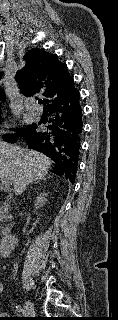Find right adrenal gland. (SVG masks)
<instances>
[{
	"mask_svg": "<svg viewBox=\"0 0 118 320\" xmlns=\"http://www.w3.org/2000/svg\"><path fill=\"white\" fill-rule=\"evenodd\" d=\"M46 178L45 177H42L41 179H38L37 181H35L34 183L32 184H36V183H39L41 180H45Z\"/></svg>",
	"mask_w": 118,
	"mask_h": 320,
	"instance_id": "1",
	"label": "right adrenal gland"
}]
</instances>
